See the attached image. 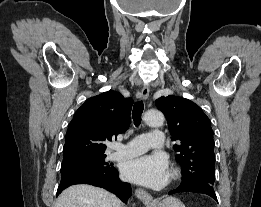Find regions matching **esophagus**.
I'll use <instances>...</instances> for the list:
<instances>
[{"mask_svg": "<svg viewBox=\"0 0 261 207\" xmlns=\"http://www.w3.org/2000/svg\"><path fill=\"white\" fill-rule=\"evenodd\" d=\"M140 100H147L149 97V87L148 85L143 86L141 91L138 94ZM135 195L145 204L149 205L153 202V197L143 189H136Z\"/></svg>", "mask_w": 261, "mask_h": 207, "instance_id": "34e87169", "label": "esophagus"}]
</instances>
